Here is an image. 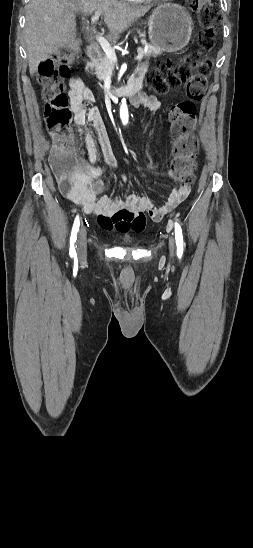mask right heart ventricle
<instances>
[{
  "instance_id": "right-heart-ventricle-1",
  "label": "right heart ventricle",
  "mask_w": 253,
  "mask_h": 548,
  "mask_svg": "<svg viewBox=\"0 0 253 548\" xmlns=\"http://www.w3.org/2000/svg\"><path fill=\"white\" fill-rule=\"evenodd\" d=\"M124 1L130 2V3H139L142 0H124Z\"/></svg>"
}]
</instances>
